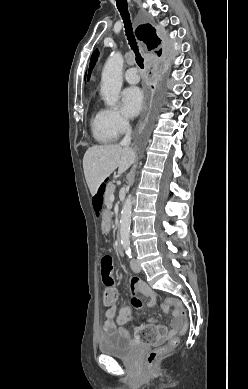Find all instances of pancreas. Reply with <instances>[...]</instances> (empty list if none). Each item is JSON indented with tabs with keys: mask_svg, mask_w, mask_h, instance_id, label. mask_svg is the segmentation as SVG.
<instances>
[{
	"mask_svg": "<svg viewBox=\"0 0 248 389\" xmlns=\"http://www.w3.org/2000/svg\"><path fill=\"white\" fill-rule=\"evenodd\" d=\"M115 191V185L113 182H110L106 188L105 197H104V203L109 210L111 208L112 202L110 200L111 195H113Z\"/></svg>",
	"mask_w": 248,
	"mask_h": 389,
	"instance_id": "cf45deb5",
	"label": "pancreas"
}]
</instances>
